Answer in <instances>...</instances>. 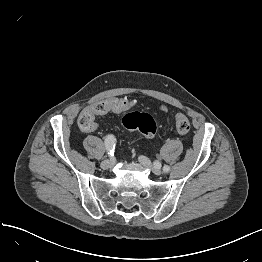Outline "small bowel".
<instances>
[{
  "instance_id": "1",
  "label": "small bowel",
  "mask_w": 262,
  "mask_h": 262,
  "mask_svg": "<svg viewBox=\"0 0 262 262\" xmlns=\"http://www.w3.org/2000/svg\"><path fill=\"white\" fill-rule=\"evenodd\" d=\"M90 108H91V107H90ZM90 108H87V109H90ZM85 110H86V109H85ZM160 110L163 111V112H166V111L168 110V107H167L165 104H163V105L160 106ZM109 112H111V111L107 110V111H105V112H103V113H98V114L95 115V117H96V116L105 115V114H107V113H109ZM93 129H94V128H93ZM93 129H92V130H93Z\"/></svg>"
}]
</instances>
